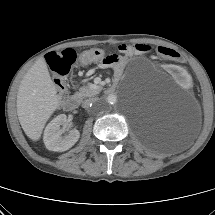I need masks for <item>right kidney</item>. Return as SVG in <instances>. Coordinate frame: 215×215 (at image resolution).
I'll use <instances>...</instances> for the list:
<instances>
[{
	"label": "right kidney",
	"instance_id": "1",
	"mask_svg": "<svg viewBox=\"0 0 215 215\" xmlns=\"http://www.w3.org/2000/svg\"><path fill=\"white\" fill-rule=\"evenodd\" d=\"M66 121L67 116L60 114L46 126L43 140L48 150L63 152L70 149L78 141L80 133L76 129L69 131L64 136L62 135L63 130L60 126L64 125Z\"/></svg>",
	"mask_w": 215,
	"mask_h": 215
}]
</instances>
